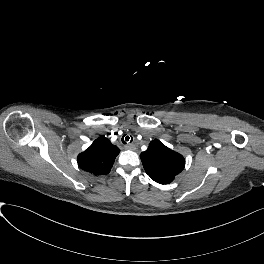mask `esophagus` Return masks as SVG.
Instances as JSON below:
<instances>
[{
	"label": "esophagus",
	"instance_id": "34e87169",
	"mask_svg": "<svg viewBox=\"0 0 264 264\" xmlns=\"http://www.w3.org/2000/svg\"><path fill=\"white\" fill-rule=\"evenodd\" d=\"M125 148L128 150H136V145L135 144L126 145Z\"/></svg>",
	"mask_w": 264,
	"mask_h": 264
}]
</instances>
